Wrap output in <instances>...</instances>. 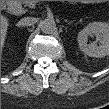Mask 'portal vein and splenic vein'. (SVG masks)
<instances>
[{
	"label": "portal vein and splenic vein",
	"instance_id": "obj_1",
	"mask_svg": "<svg viewBox=\"0 0 109 109\" xmlns=\"http://www.w3.org/2000/svg\"><path fill=\"white\" fill-rule=\"evenodd\" d=\"M37 3V1H33L31 4L34 6Z\"/></svg>",
	"mask_w": 109,
	"mask_h": 109
}]
</instances>
